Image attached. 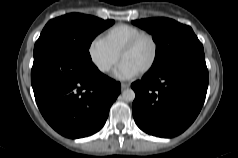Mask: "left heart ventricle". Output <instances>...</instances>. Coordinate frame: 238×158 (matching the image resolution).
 <instances>
[{"label":"left heart ventricle","mask_w":238,"mask_h":158,"mask_svg":"<svg viewBox=\"0 0 238 158\" xmlns=\"http://www.w3.org/2000/svg\"><path fill=\"white\" fill-rule=\"evenodd\" d=\"M152 54V43L148 38H144L132 50L123 56L122 61L129 63L140 71L149 63Z\"/></svg>","instance_id":"obj_1"}]
</instances>
